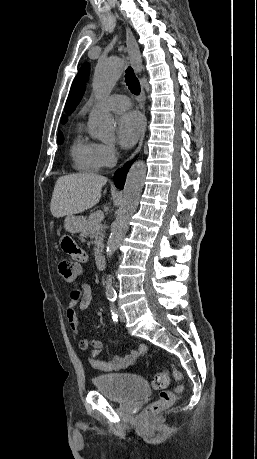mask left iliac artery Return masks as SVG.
<instances>
[{
	"label": "left iliac artery",
	"mask_w": 257,
	"mask_h": 459,
	"mask_svg": "<svg viewBox=\"0 0 257 459\" xmlns=\"http://www.w3.org/2000/svg\"><path fill=\"white\" fill-rule=\"evenodd\" d=\"M109 299H111L114 302L116 300V295H109Z\"/></svg>",
	"instance_id": "left-iliac-artery-1"
}]
</instances>
